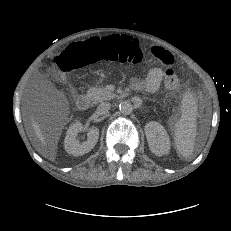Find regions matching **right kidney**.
Listing matches in <instances>:
<instances>
[{
	"mask_svg": "<svg viewBox=\"0 0 231 231\" xmlns=\"http://www.w3.org/2000/svg\"><path fill=\"white\" fill-rule=\"evenodd\" d=\"M83 130L84 127L79 121H76L69 127L64 140V146L67 153L74 156H81L90 152L95 147L99 138V129L96 127L89 128L87 132V140L79 142L77 134Z\"/></svg>",
	"mask_w": 231,
	"mask_h": 231,
	"instance_id": "1",
	"label": "right kidney"
}]
</instances>
